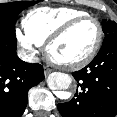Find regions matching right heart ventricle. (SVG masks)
<instances>
[{"label": "right heart ventricle", "mask_w": 117, "mask_h": 117, "mask_svg": "<svg viewBox=\"0 0 117 117\" xmlns=\"http://www.w3.org/2000/svg\"><path fill=\"white\" fill-rule=\"evenodd\" d=\"M83 10L71 7H41L30 11L23 20L25 34L36 44L42 45L68 21L87 16Z\"/></svg>", "instance_id": "right-heart-ventricle-1"}]
</instances>
